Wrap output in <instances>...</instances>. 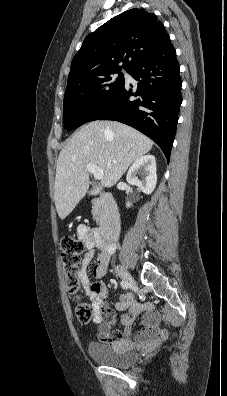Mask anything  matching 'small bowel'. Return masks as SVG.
I'll return each instance as SVG.
<instances>
[{
    "label": "small bowel",
    "mask_w": 227,
    "mask_h": 396,
    "mask_svg": "<svg viewBox=\"0 0 227 396\" xmlns=\"http://www.w3.org/2000/svg\"><path fill=\"white\" fill-rule=\"evenodd\" d=\"M77 233L78 237L85 242L88 250L77 276L85 294L89 297L95 308L93 321L98 325V339L108 343L135 341L140 346L146 348L154 347L165 340L168 336V330L158 327L160 320L159 313L153 309L152 304L139 303L130 294L122 295L114 304L116 310L125 313L120 320L121 327L119 329H112V324L116 321V313L105 303L108 298V288L100 279L106 274L110 258L115 252V245H103L97 238L98 232L86 225L79 226ZM97 248L100 251L96 256V264L93 268V275L96 280L91 282L88 275V265ZM140 315H143L142 324L144 329L134 332L132 325Z\"/></svg>",
    "instance_id": "obj_1"
}]
</instances>
